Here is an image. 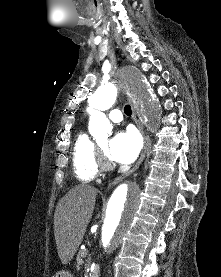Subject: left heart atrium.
<instances>
[{"label": "left heart atrium", "instance_id": "39dd6f15", "mask_svg": "<svg viewBox=\"0 0 221 277\" xmlns=\"http://www.w3.org/2000/svg\"><path fill=\"white\" fill-rule=\"evenodd\" d=\"M142 141L137 132L131 128L118 132L110 141L107 153L111 160L130 164L138 156Z\"/></svg>", "mask_w": 221, "mask_h": 277}]
</instances>
